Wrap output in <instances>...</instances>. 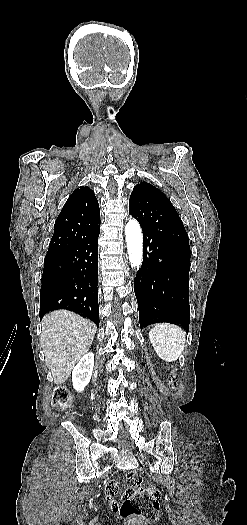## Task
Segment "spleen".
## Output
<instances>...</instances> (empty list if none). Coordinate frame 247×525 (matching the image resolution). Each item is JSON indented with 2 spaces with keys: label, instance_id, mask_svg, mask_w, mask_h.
<instances>
[{
  "label": "spleen",
  "instance_id": "1",
  "mask_svg": "<svg viewBox=\"0 0 247 525\" xmlns=\"http://www.w3.org/2000/svg\"><path fill=\"white\" fill-rule=\"evenodd\" d=\"M152 327L149 339L158 357L166 363L177 361L184 351L186 333L170 323H160Z\"/></svg>",
  "mask_w": 247,
  "mask_h": 525
}]
</instances>
